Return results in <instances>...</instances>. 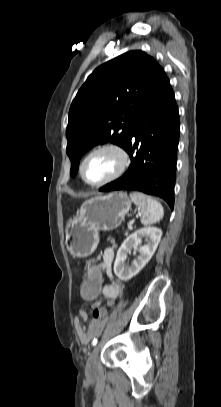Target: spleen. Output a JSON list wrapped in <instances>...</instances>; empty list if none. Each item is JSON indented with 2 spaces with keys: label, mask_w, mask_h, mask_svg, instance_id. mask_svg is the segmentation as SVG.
Returning <instances> with one entry per match:
<instances>
[{
  "label": "spleen",
  "mask_w": 221,
  "mask_h": 407,
  "mask_svg": "<svg viewBox=\"0 0 221 407\" xmlns=\"http://www.w3.org/2000/svg\"><path fill=\"white\" fill-rule=\"evenodd\" d=\"M130 198L140 209L139 214L142 224H153L163 218L164 210L162 205L151 196L141 192H131Z\"/></svg>",
  "instance_id": "obj_1"
}]
</instances>
